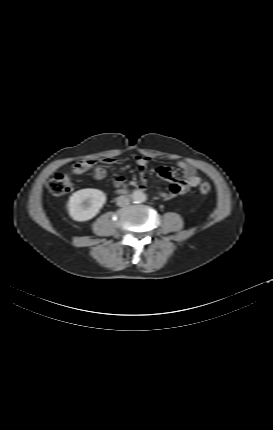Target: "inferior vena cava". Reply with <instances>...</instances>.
Masks as SVG:
<instances>
[{
	"label": "inferior vena cava",
	"instance_id": "inferior-vena-cava-1",
	"mask_svg": "<svg viewBox=\"0 0 273 430\" xmlns=\"http://www.w3.org/2000/svg\"><path fill=\"white\" fill-rule=\"evenodd\" d=\"M129 204H130V200H129V198L127 196L122 195V196H119L117 198V205L118 206H120V207H126Z\"/></svg>",
	"mask_w": 273,
	"mask_h": 430
}]
</instances>
